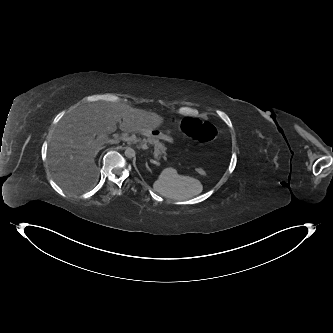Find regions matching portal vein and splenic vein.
I'll return each instance as SVG.
<instances>
[{"label": "portal vein and splenic vein", "instance_id": "18ae733b", "mask_svg": "<svg viewBox=\"0 0 333 333\" xmlns=\"http://www.w3.org/2000/svg\"><path fill=\"white\" fill-rule=\"evenodd\" d=\"M120 140H123V141H133L134 139L122 135V136L116 138L115 141L119 142ZM157 155H158V151L155 149L154 150V156L157 157ZM151 162L154 163V164H158V162H157L156 159H152Z\"/></svg>", "mask_w": 333, "mask_h": 333}]
</instances>
